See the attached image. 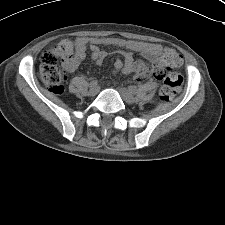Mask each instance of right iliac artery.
<instances>
[{
	"label": "right iliac artery",
	"mask_w": 225,
	"mask_h": 225,
	"mask_svg": "<svg viewBox=\"0 0 225 225\" xmlns=\"http://www.w3.org/2000/svg\"><path fill=\"white\" fill-rule=\"evenodd\" d=\"M97 83H98V81L95 80V79H93V80L90 82V86H92V85H97Z\"/></svg>",
	"instance_id": "1"
}]
</instances>
